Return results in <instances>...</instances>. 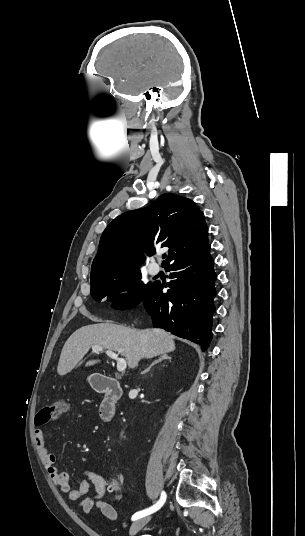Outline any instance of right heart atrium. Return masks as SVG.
<instances>
[{
    "instance_id": "1",
    "label": "right heart atrium",
    "mask_w": 305,
    "mask_h": 536,
    "mask_svg": "<svg viewBox=\"0 0 305 536\" xmlns=\"http://www.w3.org/2000/svg\"><path fill=\"white\" fill-rule=\"evenodd\" d=\"M127 293H128L127 290H125V289H124V290H121V291L119 292V294H118V299H119L120 301L124 300L125 297H126V295H127Z\"/></svg>"
}]
</instances>
